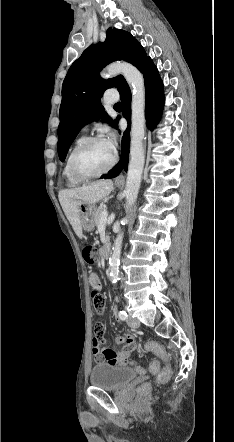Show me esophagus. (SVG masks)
<instances>
[{"label":"esophagus","mask_w":234,"mask_h":442,"mask_svg":"<svg viewBox=\"0 0 234 442\" xmlns=\"http://www.w3.org/2000/svg\"><path fill=\"white\" fill-rule=\"evenodd\" d=\"M116 182H123L124 181V176L123 174H119L116 178H115Z\"/></svg>","instance_id":"obj_1"}]
</instances>
